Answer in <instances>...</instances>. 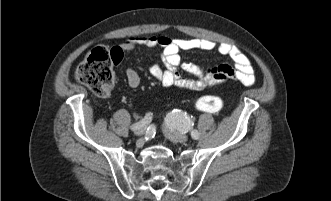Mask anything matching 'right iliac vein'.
I'll list each match as a JSON object with an SVG mask.
<instances>
[{
    "mask_svg": "<svg viewBox=\"0 0 331 201\" xmlns=\"http://www.w3.org/2000/svg\"><path fill=\"white\" fill-rule=\"evenodd\" d=\"M146 128L144 126H141L139 128H137L136 130H134V133L136 135H143L145 133Z\"/></svg>",
    "mask_w": 331,
    "mask_h": 201,
    "instance_id": "1",
    "label": "right iliac vein"
}]
</instances>
